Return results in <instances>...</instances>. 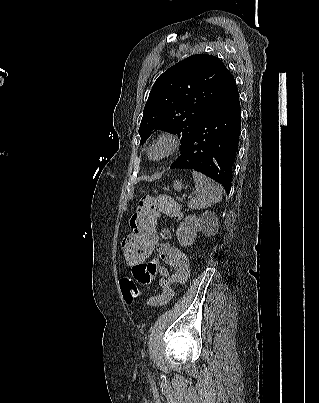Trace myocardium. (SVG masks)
Wrapping results in <instances>:
<instances>
[{
	"mask_svg": "<svg viewBox=\"0 0 319 403\" xmlns=\"http://www.w3.org/2000/svg\"><path fill=\"white\" fill-rule=\"evenodd\" d=\"M180 147V139L177 134L167 131L159 134L147 148V156L151 161H162L173 154H175ZM160 148L161 152L158 155H154V150Z\"/></svg>",
	"mask_w": 319,
	"mask_h": 403,
	"instance_id": "obj_1",
	"label": "myocardium"
}]
</instances>
